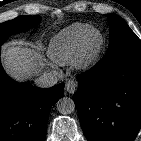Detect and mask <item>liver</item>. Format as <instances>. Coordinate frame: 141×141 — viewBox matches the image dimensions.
Returning a JSON list of instances; mask_svg holds the SVG:
<instances>
[{
    "instance_id": "1",
    "label": "liver",
    "mask_w": 141,
    "mask_h": 141,
    "mask_svg": "<svg viewBox=\"0 0 141 141\" xmlns=\"http://www.w3.org/2000/svg\"><path fill=\"white\" fill-rule=\"evenodd\" d=\"M2 62L6 72L16 81L24 82L39 75L43 63L34 45L9 43L4 47Z\"/></svg>"
}]
</instances>
